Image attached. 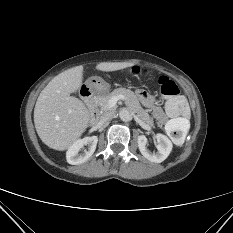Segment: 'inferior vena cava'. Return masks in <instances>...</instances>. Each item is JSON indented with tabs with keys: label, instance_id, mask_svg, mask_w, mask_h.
<instances>
[{
	"label": "inferior vena cava",
	"instance_id": "obj_1",
	"mask_svg": "<svg viewBox=\"0 0 233 233\" xmlns=\"http://www.w3.org/2000/svg\"><path fill=\"white\" fill-rule=\"evenodd\" d=\"M114 116H115V112H113V111L105 112L100 116L99 122L101 124H104V123L112 120L114 118Z\"/></svg>",
	"mask_w": 233,
	"mask_h": 233
}]
</instances>
